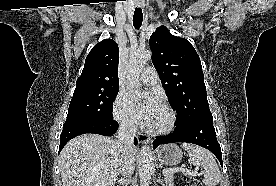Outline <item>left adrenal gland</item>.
Masks as SVG:
<instances>
[{"label":"left adrenal gland","mask_w":276,"mask_h":186,"mask_svg":"<svg viewBox=\"0 0 276 186\" xmlns=\"http://www.w3.org/2000/svg\"><path fill=\"white\" fill-rule=\"evenodd\" d=\"M157 183H160L162 186H166V183L163 179H161V173L158 175Z\"/></svg>","instance_id":"a2214340"}]
</instances>
